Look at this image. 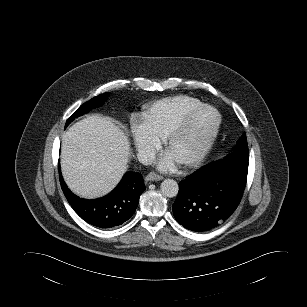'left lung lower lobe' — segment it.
<instances>
[{
    "label": "left lung lower lobe",
    "instance_id": "1",
    "mask_svg": "<svg viewBox=\"0 0 307 307\" xmlns=\"http://www.w3.org/2000/svg\"><path fill=\"white\" fill-rule=\"evenodd\" d=\"M248 161L223 159L203 166L179 183L173 214L194 232L220 226L238 207L247 181Z\"/></svg>",
    "mask_w": 307,
    "mask_h": 307
}]
</instances>
